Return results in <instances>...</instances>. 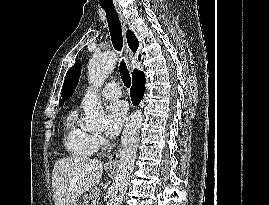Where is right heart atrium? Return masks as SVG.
I'll list each match as a JSON object with an SVG mask.
<instances>
[{
  "label": "right heart atrium",
  "mask_w": 269,
  "mask_h": 205,
  "mask_svg": "<svg viewBox=\"0 0 269 205\" xmlns=\"http://www.w3.org/2000/svg\"><path fill=\"white\" fill-rule=\"evenodd\" d=\"M93 141H94L96 149L102 147L105 143L104 138L99 134L93 135Z\"/></svg>",
  "instance_id": "1"
}]
</instances>
